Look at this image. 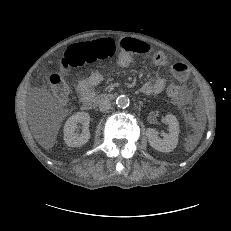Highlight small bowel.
<instances>
[{
  "instance_id": "small-bowel-1",
  "label": "small bowel",
  "mask_w": 231,
  "mask_h": 231,
  "mask_svg": "<svg viewBox=\"0 0 231 231\" xmlns=\"http://www.w3.org/2000/svg\"><path fill=\"white\" fill-rule=\"evenodd\" d=\"M121 48L115 64L117 66L127 67L136 62V56L151 55L153 62L160 66L169 65V61L161 52H152L149 45L143 41L135 38L126 37L119 40ZM171 71L174 78L180 82L185 83L188 79V70L186 65L182 63L171 64ZM103 76L100 72L95 71L87 78L82 79L77 84V92L82 101L93 98L95 88L102 82ZM165 87V81L162 78H154L146 81L142 87L141 92L145 95H153L160 93Z\"/></svg>"
}]
</instances>
